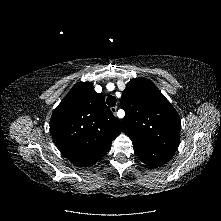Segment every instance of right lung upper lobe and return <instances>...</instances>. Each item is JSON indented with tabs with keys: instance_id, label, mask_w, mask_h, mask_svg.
<instances>
[{
	"instance_id": "cb5924a9",
	"label": "right lung upper lobe",
	"mask_w": 221,
	"mask_h": 221,
	"mask_svg": "<svg viewBox=\"0 0 221 221\" xmlns=\"http://www.w3.org/2000/svg\"><path fill=\"white\" fill-rule=\"evenodd\" d=\"M50 131L66 158L78 165L90 166L107 153L121 133V122L91 82H79L55 109Z\"/></svg>"
}]
</instances>
